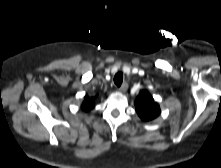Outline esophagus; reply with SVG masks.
<instances>
[{"mask_svg":"<svg viewBox=\"0 0 221 168\" xmlns=\"http://www.w3.org/2000/svg\"><path fill=\"white\" fill-rule=\"evenodd\" d=\"M127 88H128L127 83H123V84L120 86L119 91H120V92H125V91L127 90Z\"/></svg>","mask_w":221,"mask_h":168,"instance_id":"esophagus-1","label":"esophagus"}]
</instances>
